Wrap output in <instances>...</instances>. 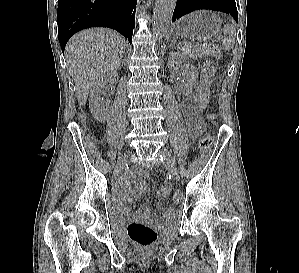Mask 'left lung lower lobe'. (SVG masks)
<instances>
[{
    "instance_id": "0a47b994",
    "label": "left lung lower lobe",
    "mask_w": 299,
    "mask_h": 273,
    "mask_svg": "<svg viewBox=\"0 0 299 273\" xmlns=\"http://www.w3.org/2000/svg\"><path fill=\"white\" fill-rule=\"evenodd\" d=\"M199 9L222 11L230 14L238 21V12L235 0H177L172 21L181 16Z\"/></svg>"
}]
</instances>
